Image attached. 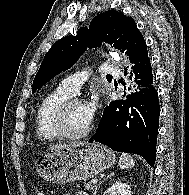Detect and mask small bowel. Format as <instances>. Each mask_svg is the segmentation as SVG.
<instances>
[{
  "label": "small bowel",
  "mask_w": 189,
  "mask_h": 195,
  "mask_svg": "<svg viewBox=\"0 0 189 195\" xmlns=\"http://www.w3.org/2000/svg\"><path fill=\"white\" fill-rule=\"evenodd\" d=\"M64 195H72V194H70V193H66V194H64ZM77 195H86L85 193H79V194H77Z\"/></svg>",
  "instance_id": "obj_1"
}]
</instances>
